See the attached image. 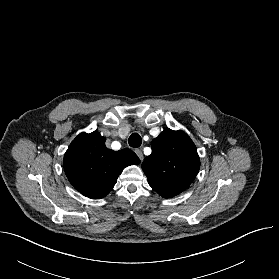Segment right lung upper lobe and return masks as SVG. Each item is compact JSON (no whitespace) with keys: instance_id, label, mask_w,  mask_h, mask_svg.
<instances>
[{"instance_id":"1","label":"right lung upper lobe","mask_w":279,"mask_h":279,"mask_svg":"<svg viewBox=\"0 0 279 279\" xmlns=\"http://www.w3.org/2000/svg\"><path fill=\"white\" fill-rule=\"evenodd\" d=\"M138 156L128 148L113 151L105 146V137L94 131L79 134L64 156V171L76 190L91 199L105 197L123 169L139 164Z\"/></svg>"}]
</instances>
